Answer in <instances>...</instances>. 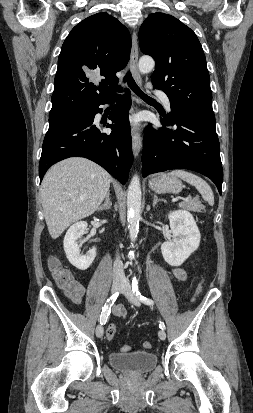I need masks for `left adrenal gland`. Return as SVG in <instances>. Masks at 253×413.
<instances>
[{
  "label": "left adrenal gland",
  "mask_w": 253,
  "mask_h": 413,
  "mask_svg": "<svg viewBox=\"0 0 253 413\" xmlns=\"http://www.w3.org/2000/svg\"><path fill=\"white\" fill-rule=\"evenodd\" d=\"M159 201L166 203V200H164L162 198H158L157 195H154V197H153V207H155L157 202H159Z\"/></svg>",
  "instance_id": "a2214340"
}]
</instances>
